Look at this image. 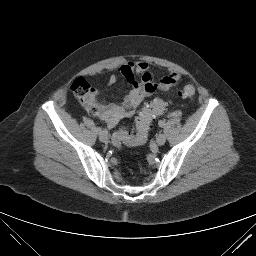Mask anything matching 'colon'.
Segmentation results:
<instances>
[{
    "instance_id": "obj_1",
    "label": "colon",
    "mask_w": 256,
    "mask_h": 256,
    "mask_svg": "<svg viewBox=\"0 0 256 256\" xmlns=\"http://www.w3.org/2000/svg\"><path fill=\"white\" fill-rule=\"evenodd\" d=\"M71 90L73 94L85 104L87 111L92 115L98 114V108L92 100L93 89L90 84L83 78L76 79L72 85ZM195 88L193 85H185L180 91V95L185 98H191L195 95ZM166 102L161 98H155L148 102L137 119L136 130L127 132L119 130L112 136V143L119 148L123 143L130 145H141L147 141L148 133L151 123L163 113Z\"/></svg>"
}]
</instances>
